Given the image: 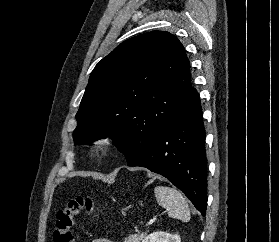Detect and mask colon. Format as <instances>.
<instances>
[{
    "label": "colon",
    "mask_w": 279,
    "mask_h": 242,
    "mask_svg": "<svg viewBox=\"0 0 279 242\" xmlns=\"http://www.w3.org/2000/svg\"><path fill=\"white\" fill-rule=\"evenodd\" d=\"M95 206L89 197L77 196L67 201L58 211L56 226L53 231V242H75L73 228L77 216L83 211L92 212Z\"/></svg>",
    "instance_id": "5ec220e1"
}]
</instances>
